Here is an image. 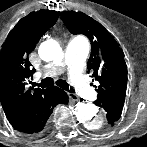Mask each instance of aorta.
Listing matches in <instances>:
<instances>
[{"instance_id": "762f6f07", "label": "aorta", "mask_w": 147, "mask_h": 147, "mask_svg": "<svg viewBox=\"0 0 147 147\" xmlns=\"http://www.w3.org/2000/svg\"><path fill=\"white\" fill-rule=\"evenodd\" d=\"M62 49L54 40H47L39 47V56L44 61H54L60 59ZM75 115L80 123L87 128L94 130L100 129L106 123V116L99 112L98 107L92 103H78Z\"/></svg>"}]
</instances>
